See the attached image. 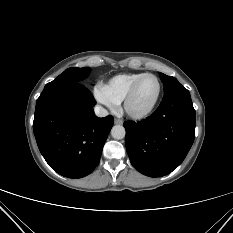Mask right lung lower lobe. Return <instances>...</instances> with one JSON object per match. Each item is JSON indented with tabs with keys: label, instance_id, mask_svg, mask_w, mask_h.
Listing matches in <instances>:
<instances>
[{
	"label": "right lung lower lobe",
	"instance_id": "right-lung-lower-lobe-1",
	"mask_svg": "<svg viewBox=\"0 0 233 233\" xmlns=\"http://www.w3.org/2000/svg\"><path fill=\"white\" fill-rule=\"evenodd\" d=\"M96 101L80 83L46 86L36 102L34 135L41 154L62 176L81 178L100 161L113 117L94 114Z\"/></svg>",
	"mask_w": 233,
	"mask_h": 233
}]
</instances>
